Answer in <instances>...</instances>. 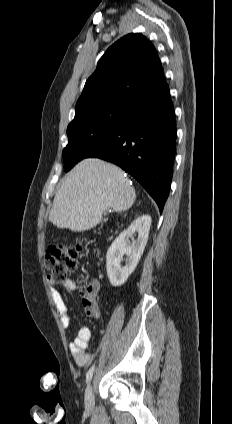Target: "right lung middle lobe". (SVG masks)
Here are the masks:
<instances>
[{"label": "right lung middle lobe", "instance_id": "obj_1", "mask_svg": "<svg viewBox=\"0 0 232 424\" xmlns=\"http://www.w3.org/2000/svg\"><path fill=\"white\" fill-rule=\"evenodd\" d=\"M130 109L126 104H103L75 114L67 128L69 143L62 152L65 172L123 126Z\"/></svg>", "mask_w": 232, "mask_h": 424}]
</instances>
